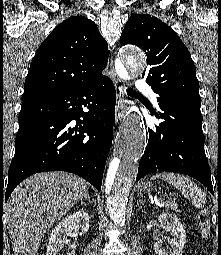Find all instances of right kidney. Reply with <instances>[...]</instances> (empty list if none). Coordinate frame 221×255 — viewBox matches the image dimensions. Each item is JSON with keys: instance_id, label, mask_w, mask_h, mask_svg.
Masks as SVG:
<instances>
[{"instance_id": "obj_1", "label": "right kidney", "mask_w": 221, "mask_h": 255, "mask_svg": "<svg viewBox=\"0 0 221 255\" xmlns=\"http://www.w3.org/2000/svg\"><path fill=\"white\" fill-rule=\"evenodd\" d=\"M89 219L87 212L77 211L60 221L49 236L46 255H60L67 236H71L78 229L84 233L88 231ZM68 255H75V249L73 248Z\"/></svg>"}]
</instances>
